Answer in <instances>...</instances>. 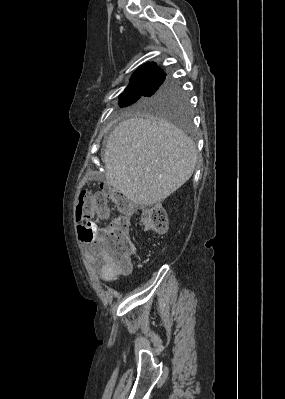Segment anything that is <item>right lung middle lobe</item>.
Instances as JSON below:
<instances>
[{
    "label": "right lung middle lobe",
    "instance_id": "obj_1",
    "mask_svg": "<svg viewBox=\"0 0 285 399\" xmlns=\"http://www.w3.org/2000/svg\"><path fill=\"white\" fill-rule=\"evenodd\" d=\"M121 107L131 106L133 110L165 116L187 129L190 107L187 95L175 82H166L161 87L121 94Z\"/></svg>",
    "mask_w": 285,
    "mask_h": 399
}]
</instances>
